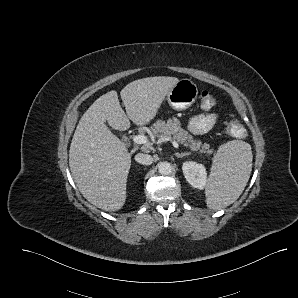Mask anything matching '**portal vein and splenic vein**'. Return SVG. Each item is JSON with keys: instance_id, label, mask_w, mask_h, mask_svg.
Segmentation results:
<instances>
[{"instance_id": "18ae733b", "label": "portal vein and splenic vein", "mask_w": 298, "mask_h": 298, "mask_svg": "<svg viewBox=\"0 0 298 298\" xmlns=\"http://www.w3.org/2000/svg\"><path fill=\"white\" fill-rule=\"evenodd\" d=\"M133 140L137 144H146V143L150 142L149 136L148 135H142V134L135 136L133 138ZM161 140H162V142L170 141L173 147L178 148V142L175 139H172L171 137H167V138H164V139H161Z\"/></svg>"}]
</instances>
